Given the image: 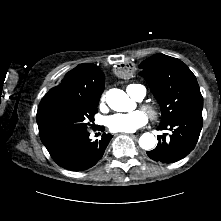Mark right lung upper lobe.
Instances as JSON below:
<instances>
[{"instance_id":"obj_1","label":"right lung upper lobe","mask_w":221,"mask_h":221,"mask_svg":"<svg viewBox=\"0 0 221 221\" xmlns=\"http://www.w3.org/2000/svg\"><path fill=\"white\" fill-rule=\"evenodd\" d=\"M104 83V74L96 65L80 64L66 73L58 86L49 90L42 98L39 107L55 100L80 103L99 100L104 90Z\"/></svg>"}]
</instances>
